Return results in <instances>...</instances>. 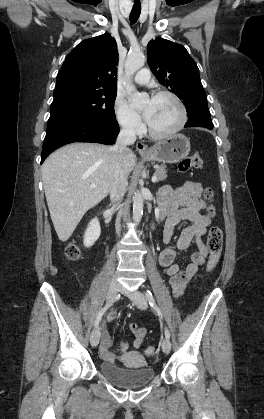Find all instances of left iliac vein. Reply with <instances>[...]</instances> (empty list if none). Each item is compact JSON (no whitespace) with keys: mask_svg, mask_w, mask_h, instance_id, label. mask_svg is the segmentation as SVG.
Returning <instances> with one entry per match:
<instances>
[{"mask_svg":"<svg viewBox=\"0 0 264 419\" xmlns=\"http://www.w3.org/2000/svg\"><path fill=\"white\" fill-rule=\"evenodd\" d=\"M124 294H126L132 301L133 303L142 310H145L147 308V299L145 297V295L136 290L134 292H128L124 289L121 290ZM162 350L164 353L168 354L171 350V342L168 338H164L162 341Z\"/></svg>","mask_w":264,"mask_h":419,"instance_id":"4c4485c4","label":"left iliac vein"}]
</instances>
